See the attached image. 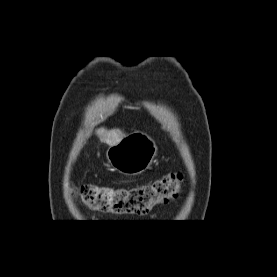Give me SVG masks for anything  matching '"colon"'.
<instances>
[{"instance_id": "obj_1", "label": "colon", "mask_w": 277, "mask_h": 277, "mask_svg": "<svg viewBox=\"0 0 277 277\" xmlns=\"http://www.w3.org/2000/svg\"><path fill=\"white\" fill-rule=\"evenodd\" d=\"M181 181L180 174L172 173L152 183L131 188L85 184L76 188L74 194L91 210L143 215L159 204L175 200Z\"/></svg>"}]
</instances>
